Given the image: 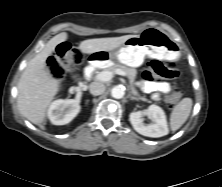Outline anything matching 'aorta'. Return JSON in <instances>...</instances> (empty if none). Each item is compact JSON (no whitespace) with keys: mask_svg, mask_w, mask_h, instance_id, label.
I'll use <instances>...</instances> for the list:
<instances>
[{"mask_svg":"<svg viewBox=\"0 0 222 187\" xmlns=\"http://www.w3.org/2000/svg\"><path fill=\"white\" fill-rule=\"evenodd\" d=\"M124 94H125L124 89L121 86H115L111 90V95L115 99L123 98Z\"/></svg>","mask_w":222,"mask_h":187,"instance_id":"762f6f07","label":"aorta"}]
</instances>
